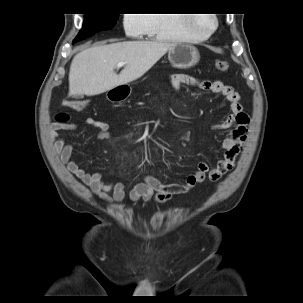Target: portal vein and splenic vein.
<instances>
[{"label": "portal vein and splenic vein", "mask_w": 303, "mask_h": 303, "mask_svg": "<svg viewBox=\"0 0 303 303\" xmlns=\"http://www.w3.org/2000/svg\"><path fill=\"white\" fill-rule=\"evenodd\" d=\"M124 65H125V63L121 62V63L117 64V67L120 68V67H123Z\"/></svg>", "instance_id": "portal-vein-and-splenic-vein-1"}]
</instances>
